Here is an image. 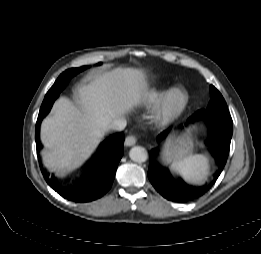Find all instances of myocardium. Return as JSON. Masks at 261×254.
Masks as SVG:
<instances>
[{
  "label": "myocardium",
  "instance_id": "obj_1",
  "mask_svg": "<svg viewBox=\"0 0 261 254\" xmlns=\"http://www.w3.org/2000/svg\"><path fill=\"white\" fill-rule=\"evenodd\" d=\"M179 101L173 104L174 96ZM189 93L183 86H174L168 89L151 112V122L157 127H169L184 113L189 104Z\"/></svg>",
  "mask_w": 261,
  "mask_h": 254
}]
</instances>
